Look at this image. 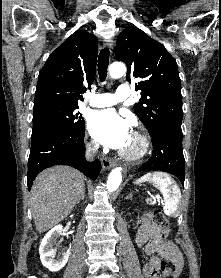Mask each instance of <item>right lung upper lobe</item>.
Here are the masks:
<instances>
[{
	"instance_id": "1",
	"label": "right lung upper lobe",
	"mask_w": 221,
	"mask_h": 278,
	"mask_svg": "<svg viewBox=\"0 0 221 278\" xmlns=\"http://www.w3.org/2000/svg\"><path fill=\"white\" fill-rule=\"evenodd\" d=\"M97 39L78 30L55 49L39 72L34 106L44 103L78 105L81 93L94 82Z\"/></svg>"
}]
</instances>
